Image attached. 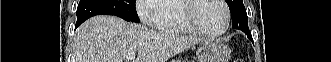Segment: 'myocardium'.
Here are the masks:
<instances>
[{"label": "myocardium", "instance_id": "myocardium-1", "mask_svg": "<svg viewBox=\"0 0 331 62\" xmlns=\"http://www.w3.org/2000/svg\"><path fill=\"white\" fill-rule=\"evenodd\" d=\"M199 1H201V0H184V1H182V16H183V19H184V22L186 23V25L194 33H196L200 36H204V37H208V38H219L222 35H224L228 31L229 25H230V12H229V8H228L226 2L223 0H215L223 8L225 22H224V27L219 32L213 33V32H208V31L204 30L199 25V23L197 22V20L194 16V10Z\"/></svg>", "mask_w": 331, "mask_h": 62}]
</instances>
